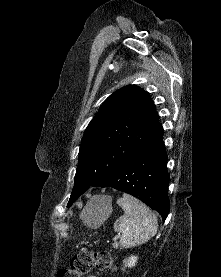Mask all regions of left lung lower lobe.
<instances>
[{
	"label": "left lung lower lobe",
	"instance_id": "left-lung-lower-lobe-1",
	"mask_svg": "<svg viewBox=\"0 0 221 277\" xmlns=\"http://www.w3.org/2000/svg\"><path fill=\"white\" fill-rule=\"evenodd\" d=\"M162 133L163 129L91 187H112L133 195L158 211L165 221L170 208V177L166 171L167 153ZM77 199L70 201L68 207Z\"/></svg>",
	"mask_w": 221,
	"mask_h": 277
}]
</instances>
